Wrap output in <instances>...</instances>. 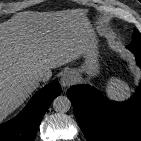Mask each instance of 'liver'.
<instances>
[{
	"instance_id": "1",
	"label": "liver",
	"mask_w": 141,
	"mask_h": 141,
	"mask_svg": "<svg viewBox=\"0 0 141 141\" xmlns=\"http://www.w3.org/2000/svg\"><path fill=\"white\" fill-rule=\"evenodd\" d=\"M92 27L82 9L15 14L0 23V121L38 87L34 74L82 55Z\"/></svg>"
}]
</instances>
